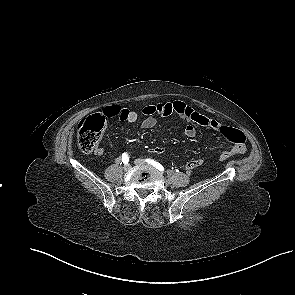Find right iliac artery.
Returning a JSON list of instances; mask_svg holds the SVG:
<instances>
[{
  "label": "right iliac artery",
  "mask_w": 295,
  "mask_h": 295,
  "mask_svg": "<svg viewBox=\"0 0 295 295\" xmlns=\"http://www.w3.org/2000/svg\"><path fill=\"white\" fill-rule=\"evenodd\" d=\"M116 162L119 164H121L122 162L124 163V164H128V162H129V156H128V154L127 153H123L122 154V158H117L116 159Z\"/></svg>",
  "instance_id": "right-iliac-artery-1"
}]
</instances>
